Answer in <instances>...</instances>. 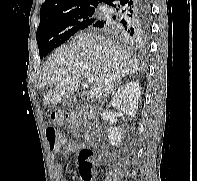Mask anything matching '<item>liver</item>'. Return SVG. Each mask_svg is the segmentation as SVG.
<instances>
[{"mask_svg": "<svg viewBox=\"0 0 197 181\" xmlns=\"http://www.w3.org/2000/svg\"><path fill=\"white\" fill-rule=\"evenodd\" d=\"M138 59L109 39L80 33L71 44L61 46L45 62L38 86L55 85L44 96V105L57 104L70 97L79 87L82 75L93 74L90 94L95 99L106 97L122 77L140 71Z\"/></svg>", "mask_w": 197, "mask_h": 181, "instance_id": "1", "label": "liver"}]
</instances>
